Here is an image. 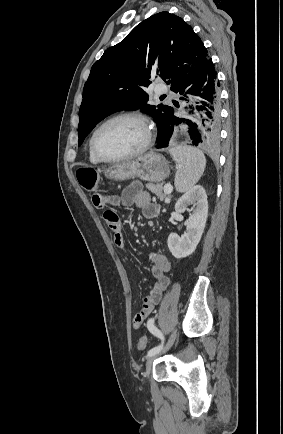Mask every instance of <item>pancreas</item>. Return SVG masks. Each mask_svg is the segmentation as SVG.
Here are the masks:
<instances>
[{
  "label": "pancreas",
  "mask_w": 283,
  "mask_h": 434,
  "mask_svg": "<svg viewBox=\"0 0 283 434\" xmlns=\"http://www.w3.org/2000/svg\"><path fill=\"white\" fill-rule=\"evenodd\" d=\"M146 188L153 193L154 195H156L158 198H160L161 200H163L167 195H165L163 193L164 187L163 184L158 183V184H152V183H148L146 185Z\"/></svg>",
  "instance_id": "obj_1"
}]
</instances>
